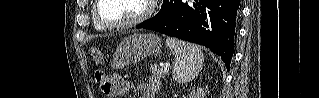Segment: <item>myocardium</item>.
<instances>
[{
	"mask_svg": "<svg viewBox=\"0 0 319 98\" xmlns=\"http://www.w3.org/2000/svg\"><path fill=\"white\" fill-rule=\"evenodd\" d=\"M103 0H96L95 6L93 9V17L94 21L104 29H122V28H129L135 25L141 24L142 22L146 21L148 18L151 17L155 10L156 2L155 0H144V10L137 15L136 17L121 22L110 23L105 21L100 15V5Z\"/></svg>",
	"mask_w": 319,
	"mask_h": 98,
	"instance_id": "myocardium-1",
	"label": "myocardium"
}]
</instances>
